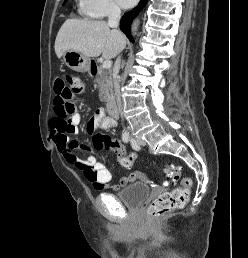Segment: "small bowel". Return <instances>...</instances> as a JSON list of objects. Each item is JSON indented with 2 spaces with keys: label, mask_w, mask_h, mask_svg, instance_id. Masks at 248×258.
<instances>
[{
  "label": "small bowel",
  "mask_w": 248,
  "mask_h": 258,
  "mask_svg": "<svg viewBox=\"0 0 248 258\" xmlns=\"http://www.w3.org/2000/svg\"><path fill=\"white\" fill-rule=\"evenodd\" d=\"M55 98H54V108L55 115L56 109L59 106V102L62 99H70V92L64 85V81L61 78H57L53 84ZM55 117V116H54ZM53 117V118H54ZM52 118V119H53ZM51 119V138L56 143L57 149L60 154L63 156L64 160L80 169L84 175L86 170H92L95 176H90L87 178L91 181L96 189H106L111 188L113 190H118L125 187L127 184L135 181L139 174L137 172H132L127 176H124L120 179L119 183L116 185H111L110 181L112 179V173L107 168L105 163L99 162L92 155H87L85 158H80L76 155V149L86 150V147L82 144H79L77 141L72 140L69 137V133H75L78 131V126L80 124L81 118L78 113H75L71 117L72 129L69 132H64L56 128L52 124ZM114 123L105 117V113L102 109H98L95 115L87 123V131L89 135H92L97 129H108Z\"/></svg>",
  "instance_id": "obj_1"
}]
</instances>
